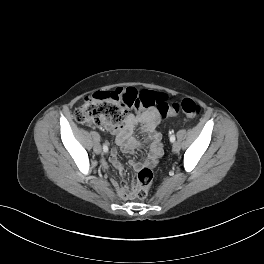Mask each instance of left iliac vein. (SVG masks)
<instances>
[{
  "label": "left iliac vein",
  "instance_id": "4c4485c4",
  "mask_svg": "<svg viewBox=\"0 0 264 264\" xmlns=\"http://www.w3.org/2000/svg\"><path fill=\"white\" fill-rule=\"evenodd\" d=\"M173 152L177 153L180 150V145L178 142H174L172 145Z\"/></svg>",
  "mask_w": 264,
  "mask_h": 264
}]
</instances>
